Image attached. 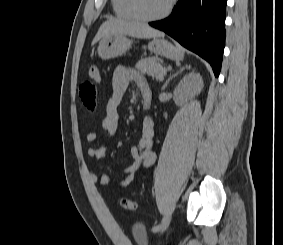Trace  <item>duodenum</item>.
Returning a JSON list of instances; mask_svg holds the SVG:
<instances>
[{
  "label": "duodenum",
  "instance_id": "410a0bca",
  "mask_svg": "<svg viewBox=\"0 0 283 245\" xmlns=\"http://www.w3.org/2000/svg\"><path fill=\"white\" fill-rule=\"evenodd\" d=\"M143 99H144V107L148 109L151 105V97L145 96Z\"/></svg>",
  "mask_w": 283,
  "mask_h": 245
}]
</instances>
